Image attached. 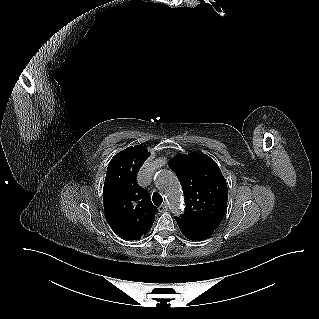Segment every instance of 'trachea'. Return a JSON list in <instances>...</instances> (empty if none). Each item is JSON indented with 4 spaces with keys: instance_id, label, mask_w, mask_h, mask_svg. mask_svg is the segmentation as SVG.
<instances>
[{
    "instance_id": "obj_1",
    "label": "trachea",
    "mask_w": 319,
    "mask_h": 319,
    "mask_svg": "<svg viewBox=\"0 0 319 319\" xmlns=\"http://www.w3.org/2000/svg\"><path fill=\"white\" fill-rule=\"evenodd\" d=\"M152 201L156 206H160L163 202V198L159 193L155 192L152 196Z\"/></svg>"
}]
</instances>
